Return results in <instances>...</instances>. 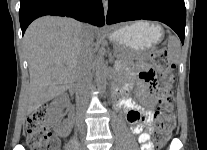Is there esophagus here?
<instances>
[{"label":"esophagus","mask_w":207,"mask_h":150,"mask_svg":"<svg viewBox=\"0 0 207 150\" xmlns=\"http://www.w3.org/2000/svg\"><path fill=\"white\" fill-rule=\"evenodd\" d=\"M108 2L109 0H102L105 14L107 13L108 10Z\"/></svg>","instance_id":"esophagus-1"}]
</instances>
